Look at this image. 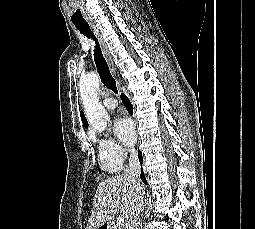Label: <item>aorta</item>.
I'll use <instances>...</instances> for the list:
<instances>
[{
  "label": "aorta",
  "mask_w": 255,
  "mask_h": 229,
  "mask_svg": "<svg viewBox=\"0 0 255 229\" xmlns=\"http://www.w3.org/2000/svg\"><path fill=\"white\" fill-rule=\"evenodd\" d=\"M79 86L88 121L96 131H104L110 122V117L97 96L99 76L95 72H90L81 77Z\"/></svg>",
  "instance_id": "aorta-1"
}]
</instances>
